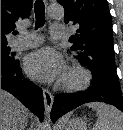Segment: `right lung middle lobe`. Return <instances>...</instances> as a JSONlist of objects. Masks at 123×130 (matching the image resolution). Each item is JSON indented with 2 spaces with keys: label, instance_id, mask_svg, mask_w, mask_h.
Segmentation results:
<instances>
[{
  "label": "right lung middle lobe",
  "instance_id": "obj_1",
  "mask_svg": "<svg viewBox=\"0 0 123 130\" xmlns=\"http://www.w3.org/2000/svg\"><path fill=\"white\" fill-rule=\"evenodd\" d=\"M10 54V49L7 47V44H1V59H5L8 61H14L15 59Z\"/></svg>",
  "mask_w": 123,
  "mask_h": 130
}]
</instances>
